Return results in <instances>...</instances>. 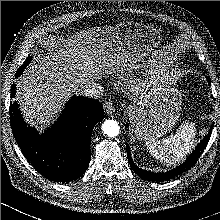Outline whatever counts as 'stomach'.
<instances>
[{
    "label": "stomach",
    "mask_w": 220,
    "mask_h": 220,
    "mask_svg": "<svg viewBox=\"0 0 220 220\" xmlns=\"http://www.w3.org/2000/svg\"><path fill=\"white\" fill-rule=\"evenodd\" d=\"M120 39L132 63L149 58L155 62L157 48L162 40L154 27L136 22H121L117 28ZM162 76L153 91L145 97L140 109L133 117L132 132L137 140L157 139L176 125L181 111L182 96L175 87L168 84L165 67L158 66Z\"/></svg>",
    "instance_id": "stomach-1"
}]
</instances>
